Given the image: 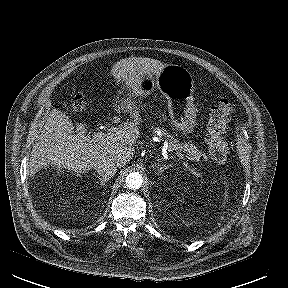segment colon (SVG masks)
<instances>
[{"instance_id":"1","label":"colon","mask_w":288,"mask_h":288,"mask_svg":"<svg viewBox=\"0 0 288 288\" xmlns=\"http://www.w3.org/2000/svg\"><path fill=\"white\" fill-rule=\"evenodd\" d=\"M75 103L82 105V97L77 95ZM233 106L228 99H222L217 105L210 108L206 123V143L211 158L217 163H224L227 160L229 147L225 134L229 127L230 113Z\"/></svg>"}]
</instances>
